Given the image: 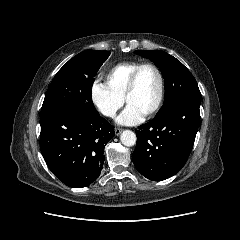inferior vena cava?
<instances>
[{
	"label": "inferior vena cava",
	"mask_w": 240,
	"mask_h": 240,
	"mask_svg": "<svg viewBox=\"0 0 240 240\" xmlns=\"http://www.w3.org/2000/svg\"><path fill=\"white\" fill-rule=\"evenodd\" d=\"M106 114L108 116H114L115 115V111L114 110H109Z\"/></svg>",
	"instance_id": "obj_1"
}]
</instances>
